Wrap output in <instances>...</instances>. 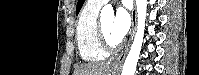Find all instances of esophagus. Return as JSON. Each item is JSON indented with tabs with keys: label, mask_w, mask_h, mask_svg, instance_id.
I'll return each instance as SVG.
<instances>
[{
	"label": "esophagus",
	"mask_w": 199,
	"mask_h": 75,
	"mask_svg": "<svg viewBox=\"0 0 199 75\" xmlns=\"http://www.w3.org/2000/svg\"><path fill=\"white\" fill-rule=\"evenodd\" d=\"M136 21H137V14H136V8L134 7L133 11H132V29H131V36L128 42V45L126 46V48L121 52V54L116 58L114 65L115 66H119L121 67L123 65V62L125 60L126 54L129 50L130 44L133 40L134 34H135V30H136Z\"/></svg>",
	"instance_id": "34e87169"
}]
</instances>
